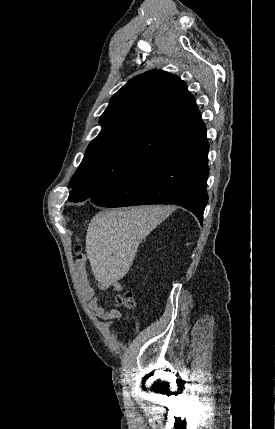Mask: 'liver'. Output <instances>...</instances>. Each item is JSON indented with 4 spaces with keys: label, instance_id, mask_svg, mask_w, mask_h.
<instances>
[{
    "label": "liver",
    "instance_id": "liver-1",
    "mask_svg": "<svg viewBox=\"0 0 275 429\" xmlns=\"http://www.w3.org/2000/svg\"><path fill=\"white\" fill-rule=\"evenodd\" d=\"M169 212L167 206H139L102 211L92 218L86 234V253L102 287H109L128 273L141 240Z\"/></svg>",
    "mask_w": 275,
    "mask_h": 429
}]
</instances>
